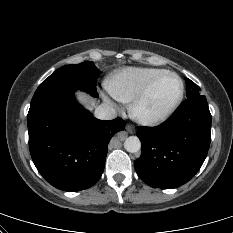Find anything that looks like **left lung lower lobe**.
<instances>
[{
  "instance_id": "0a47b994",
  "label": "left lung lower lobe",
  "mask_w": 233,
  "mask_h": 233,
  "mask_svg": "<svg viewBox=\"0 0 233 233\" xmlns=\"http://www.w3.org/2000/svg\"><path fill=\"white\" fill-rule=\"evenodd\" d=\"M137 175L149 186L177 188L202 166L211 141V114L203 95L187 99L161 126L139 127Z\"/></svg>"
}]
</instances>
